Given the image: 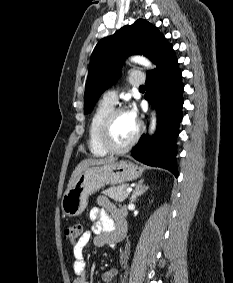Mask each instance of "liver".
Listing matches in <instances>:
<instances>
[{
	"label": "liver",
	"instance_id": "1",
	"mask_svg": "<svg viewBox=\"0 0 233 283\" xmlns=\"http://www.w3.org/2000/svg\"><path fill=\"white\" fill-rule=\"evenodd\" d=\"M117 158L114 157H108V158H103V159H85L83 161H81L77 167L75 168V170L73 171L70 180L68 182V186L67 189L71 188L75 182L77 181L79 175L81 174V172L89 167V166H95V165H104V164H108V163H112V162H116Z\"/></svg>",
	"mask_w": 233,
	"mask_h": 283
}]
</instances>
